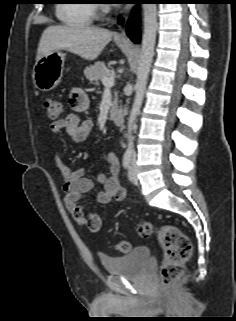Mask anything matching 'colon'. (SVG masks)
<instances>
[{"instance_id": "obj_1", "label": "colon", "mask_w": 236, "mask_h": 321, "mask_svg": "<svg viewBox=\"0 0 236 321\" xmlns=\"http://www.w3.org/2000/svg\"><path fill=\"white\" fill-rule=\"evenodd\" d=\"M44 108L50 119H57L61 114V103L54 98L44 100ZM138 235L142 238L155 237L164 249L163 260L160 267V277L164 286H169L184 271V265L192 252L189 238L177 227L171 225L154 226L148 221H139L137 224ZM132 244L128 240L116 243L115 249L119 253L130 252Z\"/></svg>"}]
</instances>
